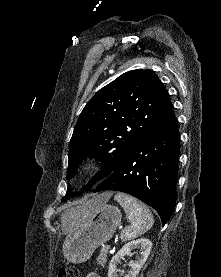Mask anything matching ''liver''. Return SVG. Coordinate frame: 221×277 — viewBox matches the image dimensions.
<instances>
[{
    "mask_svg": "<svg viewBox=\"0 0 221 277\" xmlns=\"http://www.w3.org/2000/svg\"><path fill=\"white\" fill-rule=\"evenodd\" d=\"M112 196V193H103L99 196L96 197V203L101 204V203H106ZM79 210V207L70 209L62 213L61 215V223H62V230L64 233H67L68 231V222L70 219L77 214Z\"/></svg>",
    "mask_w": 221,
    "mask_h": 277,
    "instance_id": "obj_1",
    "label": "liver"
}]
</instances>
